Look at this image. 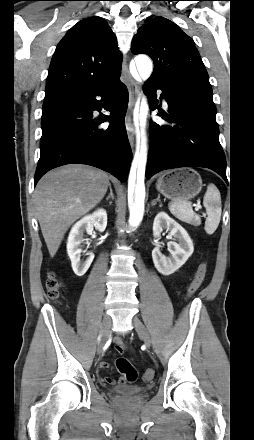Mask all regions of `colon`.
Here are the masks:
<instances>
[{
    "instance_id": "5ec220e1",
    "label": "colon",
    "mask_w": 254,
    "mask_h": 440,
    "mask_svg": "<svg viewBox=\"0 0 254 440\" xmlns=\"http://www.w3.org/2000/svg\"><path fill=\"white\" fill-rule=\"evenodd\" d=\"M208 266L206 263H201L195 272V275L187 289V295L189 297L193 296L201 287L206 274ZM62 283L59 277L51 272L46 280V289L48 296L52 299H57L61 294ZM116 368L118 371L124 375L127 382L133 383L137 380L138 373L132 364L125 358H119L116 360ZM144 380L151 381L154 377V371L152 369H147L144 372Z\"/></svg>"
}]
</instances>
